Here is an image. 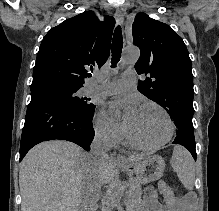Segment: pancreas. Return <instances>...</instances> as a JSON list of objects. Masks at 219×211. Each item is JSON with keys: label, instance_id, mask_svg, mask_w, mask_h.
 <instances>
[{"label": "pancreas", "instance_id": "1", "mask_svg": "<svg viewBox=\"0 0 219 211\" xmlns=\"http://www.w3.org/2000/svg\"><path fill=\"white\" fill-rule=\"evenodd\" d=\"M131 189H134L135 194L133 193L132 195H127V211H137L138 207H141V198H139V193L141 192L140 187H132Z\"/></svg>", "mask_w": 219, "mask_h": 211}]
</instances>
